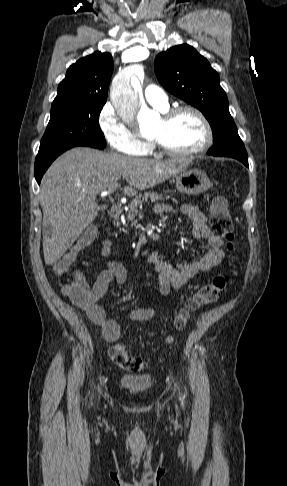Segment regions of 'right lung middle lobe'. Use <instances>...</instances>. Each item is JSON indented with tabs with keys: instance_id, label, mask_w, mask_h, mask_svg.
Instances as JSON below:
<instances>
[{
	"instance_id": "1",
	"label": "right lung middle lobe",
	"mask_w": 287,
	"mask_h": 486,
	"mask_svg": "<svg viewBox=\"0 0 287 486\" xmlns=\"http://www.w3.org/2000/svg\"><path fill=\"white\" fill-rule=\"evenodd\" d=\"M105 103L83 101L52 106L38 155L75 146L105 148L106 141L98 122Z\"/></svg>"
}]
</instances>
